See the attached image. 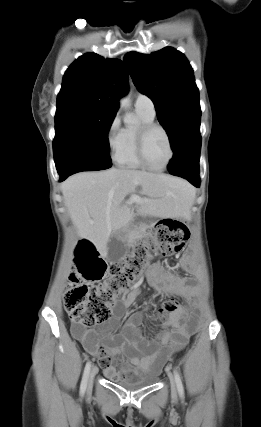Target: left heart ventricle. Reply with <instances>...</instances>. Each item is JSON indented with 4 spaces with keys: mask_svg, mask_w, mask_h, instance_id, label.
<instances>
[{
    "mask_svg": "<svg viewBox=\"0 0 261 427\" xmlns=\"http://www.w3.org/2000/svg\"><path fill=\"white\" fill-rule=\"evenodd\" d=\"M146 157L149 163L155 167L163 166L169 158V146L164 134L153 131L146 141Z\"/></svg>",
    "mask_w": 261,
    "mask_h": 427,
    "instance_id": "b2bd125f",
    "label": "left heart ventricle"
}]
</instances>
